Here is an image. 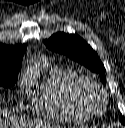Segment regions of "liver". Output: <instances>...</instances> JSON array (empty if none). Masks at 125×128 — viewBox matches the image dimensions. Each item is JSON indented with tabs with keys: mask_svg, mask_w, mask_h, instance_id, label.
<instances>
[{
	"mask_svg": "<svg viewBox=\"0 0 125 128\" xmlns=\"http://www.w3.org/2000/svg\"><path fill=\"white\" fill-rule=\"evenodd\" d=\"M12 122L11 119L9 117H7V115H5L4 113H0V128H6V126ZM34 127L36 128H53L51 125L49 124H43V123H36L34 125ZM58 128V127H55Z\"/></svg>",
	"mask_w": 125,
	"mask_h": 128,
	"instance_id": "1",
	"label": "liver"
}]
</instances>
